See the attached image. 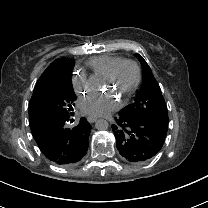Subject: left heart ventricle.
I'll use <instances>...</instances> for the list:
<instances>
[{
    "mask_svg": "<svg viewBox=\"0 0 208 208\" xmlns=\"http://www.w3.org/2000/svg\"><path fill=\"white\" fill-rule=\"evenodd\" d=\"M134 79V69L131 65H123L117 72L114 82L112 85L119 91L120 95L124 96L128 91L130 85ZM102 85L101 79L98 81L95 89L92 92V98L99 99L96 91Z\"/></svg>",
    "mask_w": 208,
    "mask_h": 208,
    "instance_id": "obj_1",
    "label": "left heart ventricle"
}]
</instances>
